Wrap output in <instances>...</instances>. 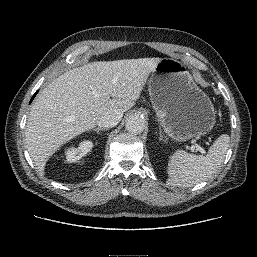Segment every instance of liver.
<instances>
[{
	"instance_id": "6515ba94",
	"label": "liver",
	"mask_w": 257,
	"mask_h": 257,
	"mask_svg": "<svg viewBox=\"0 0 257 257\" xmlns=\"http://www.w3.org/2000/svg\"><path fill=\"white\" fill-rule=\"evenodd\" d=\"M161 58L98 61L71 69L42 90L31 106L25 140L37 169L63 144L93 129L109 110L135 105Z\"/></svg>"
}]
</instances>
